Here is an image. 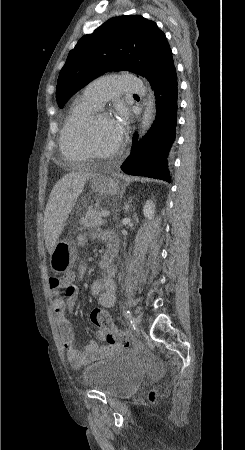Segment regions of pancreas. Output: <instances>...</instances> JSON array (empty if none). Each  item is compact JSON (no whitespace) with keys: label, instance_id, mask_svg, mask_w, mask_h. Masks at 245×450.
<instances>
[{"label":"pancreas","instance_id":"obj_1","mask_svg":"<svg viewBox=\"0 0 245 450\" xmlns=\"http://www.w3.org/2000/svg\"><path fill=\"white\" fill-rule=\"evenodd\" d=\"M79 223L85 228H94L105 224V220L102 219L100 211L97 208L89 206Z\"/></svg>","mask_w":245,"mask_h":450}]
</instances>
